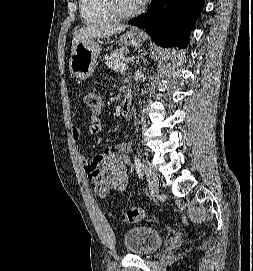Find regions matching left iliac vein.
<instances>
[{
  "mask_svg": "<svg viewBox=\"0 0 253 271\" xmlns=\"http://www.w3.org/2000/svg\"><path fill=\"white\" fill-rule=\"evenodd\" d=\"M143 165L146 169L145 178L149 184L152 195L155 196L159 193V180L157 172L147 162H144Z\"/></svg>",
  "mask_w": 253,
  "mask_h": 271,
  "instance_id": "1",
  "label": "left iliac vein"
}]
</instances>
